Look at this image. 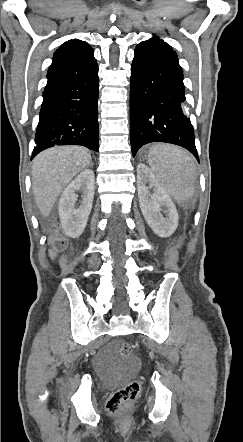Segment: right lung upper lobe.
<instances>
[{"mask_svg": "<svg viewBox=\"0 0 243 442\" xmlns=\"http://www.w3.org/2000/svg\"><path fill=\"white\" fill-rule=\"evenodd\" d=\"M93 50L86 42L78 39L63 43L53 55L52 64L59 61L79 57Z\"/></svg>", "mask_w": 243, "mask_h": 442, "instance_id": "obj_1", "label": "right lung upper lobe"}]
</instances>
